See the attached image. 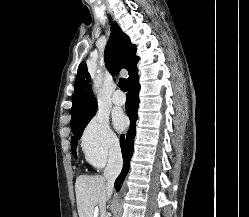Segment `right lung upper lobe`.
<instances>
[{
	"mask_svg": "<svg viewBox=\"0 0 249 217\" xmlns=\"http://www.w3.org/2000/svg\"><path fill=\"white\" fill-rule=\"evenodd\" d=\"M139 57L136 56V46L120 29L116 22L111 25V37L105 47V64L112 75L122 68L129 72L128 81L138 72L136 65ZM91 77L87 65L81 62L75 80V91L72 99L71 124L97 109V102L91 88Z\"/></svg>",
	"mask_w": 249,
	"mask_h": 217,
	"instance_id": "1",
	"label": "right lung upper lobe"
}]
</instances>
